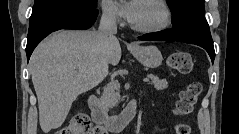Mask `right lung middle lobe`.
Instances as JSON below:
<instances>
[{
	"label": "right lung middle lobe",
	"mask_w": 239,
	"mask_h": 134,
	"mask_svg": "<svg viewBox=\"0 0 239 134\" xmlns=\"http://www.w3.org/2000/svg\"><path fill=\"white\" fill-rule=\"evenodd\" d=\"M59 4H77L86 8L95 9L97 7V0H35L31 16H35L45 9Z\"/></svg>",
	"instance_id": "obj_1"
}]
</instances>
